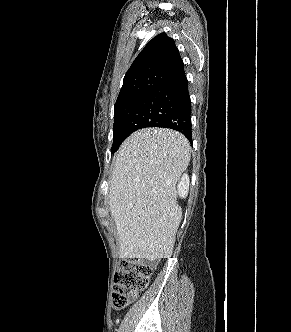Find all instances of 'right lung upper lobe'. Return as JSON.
Returning a JSON list of instances; mask_svg holds the SVG:
<instances>
[{
  "label": "right lung upper lobe",
  "mask_w": 291,
  "mask_h": 332,
  "mask_svg": "<svg viewBox=\"0 0 291 332\" xmlns=\"http://www.w3.org/2000/svg\"><path fill=\"white\" fill-rule=\"evenodd\" d=\"M182 71L184 64L174 40L160 33L147 43L128 69L117 100L152 91Z\"/></svg>",
  "instance_id": "right-lung-upper-lobe-1"
}]
</instances>
